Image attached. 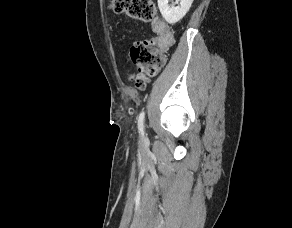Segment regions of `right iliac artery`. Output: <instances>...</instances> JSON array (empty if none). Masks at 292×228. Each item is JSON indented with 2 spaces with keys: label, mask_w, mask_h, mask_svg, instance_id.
<instances>
[{
  "label": "right iliac artery",
  "mask_w": 292,
  "mask_h": 228,
  "mask_svg": "<svg viewBox=\"0 0 292 228\" xmlns=\"http://www.w3.org/2000/svg\"><path fill=\"white\" fill-rule=\"evenodd\" d=\"M144 117H145L144 112H141L138 118V129L141 134L144 133Z\"/></svg>",
  "instance_id": "1"
}]
</instances>
